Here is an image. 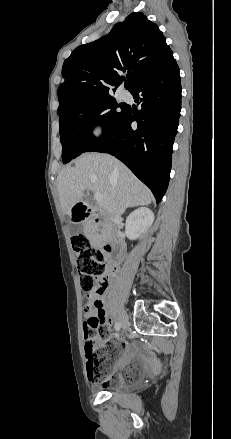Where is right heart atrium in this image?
I'll list each match as a JSON object with an SVG mask.
<instances>
[{
  "label": "right heart atrium",
  "mask_w": 231,
  "mask_h": 439,
  "mask_svg": "<svg viewBox=\"0 0 231 439\" xmlns=\"http://www.w3.org/2000/svg\"><path fill=\"white\" fill-rule=\"evenodd\" d=\"M106 132V124L105 122L97 117L92 120L90 125V134L93 138H101Z\"/></svg>",
  "instance_id": "right-heart-atrium-1"
}]
</instances>
